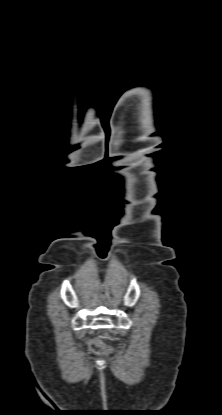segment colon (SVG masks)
I'll return each mask as SVG.
<instances>
[{
  "label": "colon",
  "mask_w": 222,
  "mask_h": 415,
  "mask_svg": "<svg viewBox=\"0 0 222 415\" xmlns=\"http://www.w3.org/2000/svg\"><path fill=\"white\" fill-rule=\"evenodd\" d=\"M88 347L97 354H102L107 350V346L98 339H90L87 341Z\"/></svg>",
  "instance_id": "1"
}]
</instances>
